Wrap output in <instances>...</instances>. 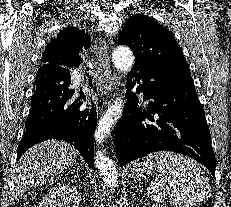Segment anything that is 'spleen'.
Wrapping results in <instances>:
<instances>
[{"label": "spleen", "mask_w": 231, "mask_h": 207, "mask_svg": "<svg viewBox=\"0 0 231 207\" xmlns=\"http://www.w3.org/2000/svg\"><path fill=\"white\" fill-rule=\"evenodd\" d=\"M147 172L157 170L156 177L147 188L155 201L164 202L168 197L175 207L200 205L210 196L211 186L198 164L183 155L169 151L147 155L142 163Z\"/></svg>", "instance_id": "obj_1"}]
</instances>
